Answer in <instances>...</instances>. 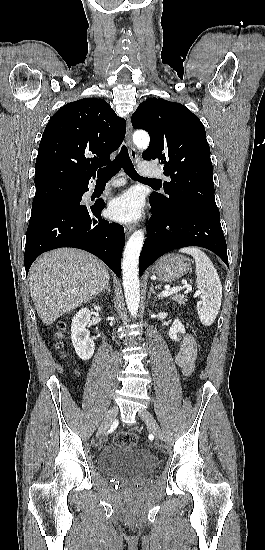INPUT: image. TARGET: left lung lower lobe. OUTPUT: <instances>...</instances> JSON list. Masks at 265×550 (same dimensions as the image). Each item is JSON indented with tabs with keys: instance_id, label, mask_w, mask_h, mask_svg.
<instances>
[{
	"instance_id": "1",
	"label": "left lung lower lobe",
	"mask_w": 265,
	"mask_h": 550,
	"mask_svg": "<svg viewBox=\"0 0 265 550\" xmlns=\"http://www.w3.org/2000/svg\"><path fill=\"white\" fill-rule=\"evenodd\" d=\"M152 217L147 225L139 258V272L163 254L182 247L200 246L213 251L228 266L227 246L220 215L193 206L159 210L151 204Z\"/></svg>"
}]
</instances>
